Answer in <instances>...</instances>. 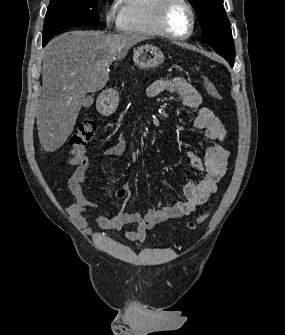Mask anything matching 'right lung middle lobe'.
Returning a JSON list of instances; mask_svg holds the SVG:
<instances>
[{"label":"right lung middle lobe","mask_w":285,"mask_h":335,"mask_svg":"<svg viewBox=\"0 0 285 335\" xmlns=\"http://www.w3.org/2000/svg\"><path fill=\"white\" fill-rule=\"evenodd\" d=\"M99 0H50L43 28V43L56 33L73 26L96 24Z\"/></svg>","instance_id":"dd1d6c3e"}]
</instances>
